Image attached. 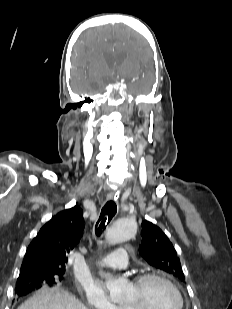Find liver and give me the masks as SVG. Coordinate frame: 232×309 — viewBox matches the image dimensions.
Wrapping results in <instances>:
<instances>
[{"label":"liver","instance_id":"1","mask_svg":"<svg viewBox=\"0 0 232 309\" xmlns=\"http://www.w3.org/2000/svg\"><path fill=\"white\" fill-rule=\"evenodd\" d=\"M17 309H88L75 296L61 288H43Z\"/></svg>","mask_w":232,"mask_h":309}]
</instances>
